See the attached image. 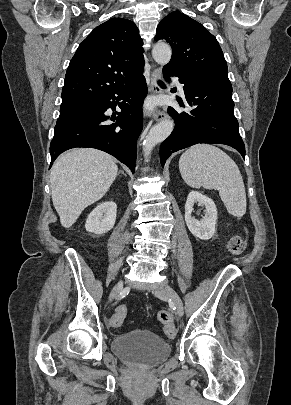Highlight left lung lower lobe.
<instances>
[{
    "label": "left lung lower lobe",
    "mask_w": 291,
    "mask_h": 405,
    "mask_svg": "<svg viewBox=\"0 0 291 405\" xmlns=\"http://www.w3.org/2000/svg\"><path fill=\"white\" fill-rule=\"evenodd\" d=\"M164 78L179 77L190 110L179 112L168 107L176 121L171 135L160 146L161 165L181 149L198 143L225 144L235 148L245 158V146L234 116L230 81L188 77L172 68H163ZM179 104L183 106V103Z\"/></svg>",
    "instance_id": "left-lung-lower-lobe-1"
}]
</instances>
